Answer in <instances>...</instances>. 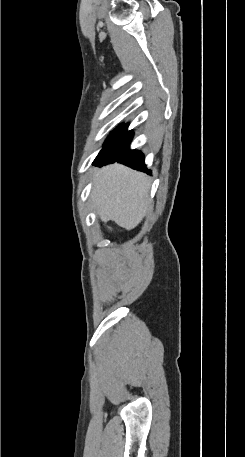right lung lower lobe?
Masks as SVG:
<instances>
[{
    "label": "right lung lower lobe",
    "instance_id": "98d812e1",
    "mask_svg": "<svg viewBox=\"0 0 245 457\" xmlns=\"http://www.w3.org/2000/svg\"><path fill=\"white\" fill-rule=\"evenodd\" d=\"M128 124L123 125L115 138L105 149L99 160L94 164L95 166H103L109 163L122 162L133 169L144 170L146 169L144 163V155L137 150H131L129 145L133 138V132L127 131Z\"/></svg>",
    "mask_w": 245,
    "mask_h": 457
}]
</instances>
